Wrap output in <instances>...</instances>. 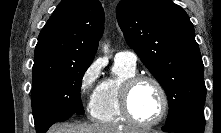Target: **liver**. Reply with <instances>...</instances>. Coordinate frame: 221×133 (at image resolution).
Segmentation results:
<instances>
[{"mask_svg":"<svg viewBox=\"0 0 221 133\" xmlns=\"http://www.w3.org/2000/svg\"><path fill=\"white\" fill-rule=\"evenodd\" d=\"M48 133H142L141 130L102 123H63L54 125Z\"/></svg>","mask_w":221,"mask_h":133,"instance_id":"obj_1","label":"liver"}]
</instances>
